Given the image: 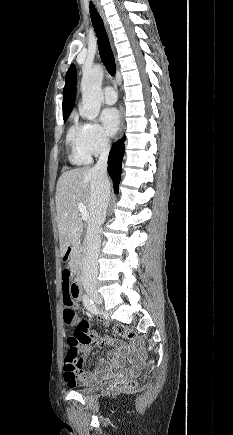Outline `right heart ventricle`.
<instances>
[{
  "label": "right heart ventricle",
  "instance_id": "right-heart-ventricle-1",
  "mask_svg": "<svg viewBox=\"0 0 233 435\" xmlns=\"http://www.w3.org/2000/svg\"><path fill=\"white\" fill-rule=\"evenodd\" d=\"M85 124L74 119L67 132V143L70 148V161L76 165H88L91 155L86 146Z\"/></svg>",
  "mask_w": 233,
  "mask_h": 435
}]
</instances>
